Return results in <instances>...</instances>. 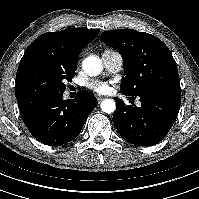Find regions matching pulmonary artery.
Instances as JSON below:
<instances>
[{"instance_id": "1", "label": "pulmonary artery", "mask_w": 199, "mask_h": 199, "mask_svg": "<svg viewBox=\"0 0 199 199\" xmlns=\"http://www.w3.org/2000/svg\"><path fill=\"white\" fill-rule=\"evenodd\" d=\"M102 61L107 71L116 73L123 65L122 55L115 50H105L102 53Z\"/></svg>"}]
</instances>
